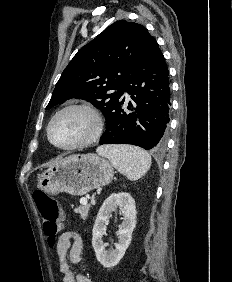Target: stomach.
Wrapping results in <instances>:
<instances>
[{
    "label": "stomach",
    "instance_id": "stomach-1",
    "mask_svg": "<svg viewBox=\"0 0 232 282\" xmlns=\"http://www.w3.org/2000/svg\"><path fill=\"white\" fill-rule=\"evenodd\" d=\"M112 164L96 154L71 155L60 159L38 176L37 187L55 195L66 192L82 196L113 178Z\"/></svg>",
    "mask_w": 232,
    "mask_h": 282
}]
</instances>
